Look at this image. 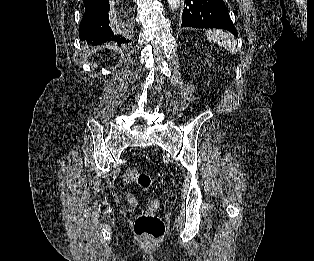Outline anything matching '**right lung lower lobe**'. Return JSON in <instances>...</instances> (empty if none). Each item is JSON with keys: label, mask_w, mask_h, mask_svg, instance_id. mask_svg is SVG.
<instances>
[{"label": "right lung lower lobe", "mask_w": 314, "mask_h": 261, "mask_svg": "<svg viewBox=\"0 0 314 261\" xmlns=\"http://www.w3.org/2000/svg\"><path fill=\"white\" fill-rule=\"evenodd\" d=\"M85 12L79 25V38L91 45L109 41L117 44L129 40L120 34V29L111 27L109 21L110 0H83Z\"/></svg>", "instance_id": "1"}]
</instances>
